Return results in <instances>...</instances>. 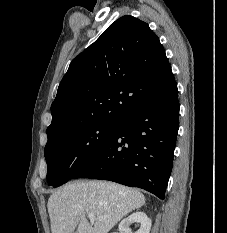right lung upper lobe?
Instances as JSON below:
<instances>
[{
  "mask_svg": "<svg viewBox=\"0 0 227 233\" xmlns=\"http://www.w3.org/2000/svg\"><path fill=\"white\" fill-rule=\"evenodd\" d=\"M173 83L159 38L147 23L123 16L70 63L51 105L48 140L84 124L120 121Z\"/></svg>",
  "mask_w": 227,
  "mask_h": 233,
  "instance_id": "cb5924a9",
  "label": "right lung upper lobe"
}]
</instances>
